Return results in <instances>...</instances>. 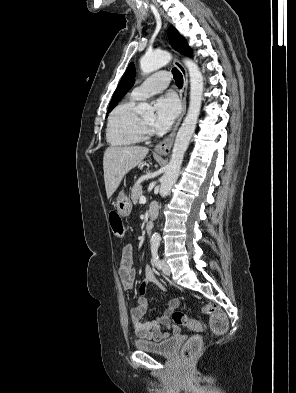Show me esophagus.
Masks as SVG:
<instances>
[{"label": "esophagus", "mask_w": 296, "mask_h": 393, "mask_svg": "<svg viewBox=\"0 0 296 393\" xmlns=\"http://www.w3.org/2000/svg\"><path fill=\"white\" fill-rule=\"evenodd\" d=\"M174 65L178 68V70L181 72L182 77H183V87L180 90V101L182 105V110L179 118L177 119L174 128L172 132L162 141L160 142L156 147H155V152L161 154V155H167L170 153L176 132L178 130V127L186 113V98H187V88H188V74L181 63V61L178 59V57L175 58L174 60Z\"/></svg>", "instance_id": "1"}]
</instances>
